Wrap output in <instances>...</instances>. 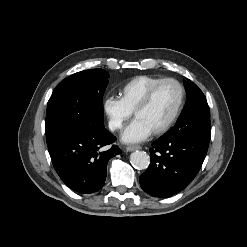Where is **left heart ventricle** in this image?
<instances>
[{"label": "left heart ventricle", "instance_id": "b2bd125f", "mask_svg": "<svg viewBox=\"0 0 247 247\" xmlns=\"http://www.w3.org/2000/svg\"><path fill=\"white\" fill-rule=\"evenodd\" d=\"M179 102V89L173 83L164 84L147 108L136 115L152 132L164 125L173 115Z\"/></svg>", "mask_w": 247, "mask_h": 247}]
</instances>
